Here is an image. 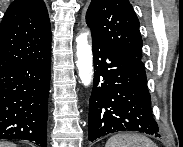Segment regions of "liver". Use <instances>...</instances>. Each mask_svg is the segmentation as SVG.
<instances>
[{
	"instance_id": "6515ba94",
	"label": "liver",
	"mask_w": 183,
	"mask_h": 147,
	"mask_svg": "<svg viewBox=\"0 0 183 147\" xmlns=\"http://www.w3.org/2000/svg\"><path fill=\"white\" fill-rule=\"evenodd\" d=\"M0 147H16V145L9 142H0Z\"/></svg>"
}]
</instances>
